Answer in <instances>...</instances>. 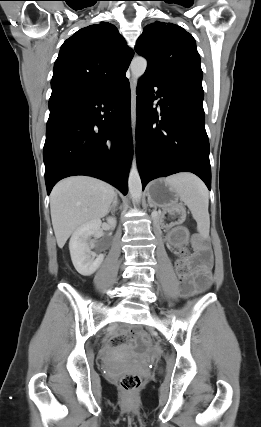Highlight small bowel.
Returning a JSON list of instances; mask_svg holds the SVG:
<instances>
[{
	"label": "small bowel",
	"instance_id": "1",
	"mask_svg": "<svg viewBox=\"0 0 261 427\" xmlns=\"http://www.w3.org/2000/svg\"><path fill=\"white\" fill-rule=\"evenodd\" d=\"M192 290H193V288H192V287H187V288H186V292H188V293L192 292ZM121 342H122V340H121V338H119V337H112V338H110V340H109V343H110L111 345H113V346L118 345V344H120Z\"/></svg>",
	"mask_w": 261,
	"mask_h": 427
}]
</instances>
